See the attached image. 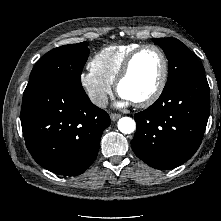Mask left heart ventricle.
<instances>
[{
  "label": "left heart ventricle",
  "mask_w": 221,
  "mask_h": 221,
  "mask_svg": "<svg viewBox=\"0 0 221 221\" xmlns=\"http://www.w3.org/2000/svg\"><path fill=\"white\" fill-rule=\"evenodd\" d=\"M162 71V60L154 49L142 51L135 59L130 74L120 87L121 95L132 102L147 98L156 88Z\"/></svg>",
  "instance_id": "b2bd125f"
}]
</instances>
